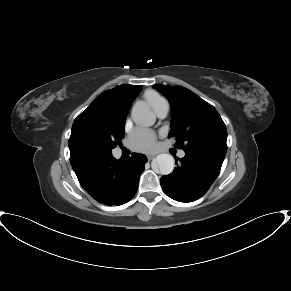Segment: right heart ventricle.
Here are the masks:
<instances>
[{"label": "right heart ventricle", "mask_w": 291, "mask_h": 291, "mask_svg": "<svg viewBox=\"0 0 291 291\" xmlns=\"http://www.w3.org/2000/svg\"><path fill=\"white\" fill-rule=\"evenodd\" d=\"M144 98L147 103L156 111L159 105L165 101V99L153 90H147L144 94Z\"/></svg>", "instance_id": "e07e8e85"}]
</instances>
